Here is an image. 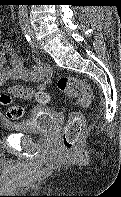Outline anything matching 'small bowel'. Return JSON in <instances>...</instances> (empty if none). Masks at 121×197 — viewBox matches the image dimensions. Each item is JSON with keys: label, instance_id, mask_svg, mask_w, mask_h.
<instances>
[{"label": "small bowel", "instance_id": "c3829d8e", "mask_svg": "<svg viewBox=\"0 0 121 197\" xmlns=\"http://www.w3.org/2000/svg\"><path fill=\"white\" fill-rule=\"evenodd\" d=\"M3 17L0 15V25ZM33 63L31 68H26L21 58L9 46L0 48V86H5L9 79L25 80L37 83L35 88H27L30 91L29 96L17 95V97L29 99L35 92L45 90L52 78V70L49 65L43 63L37 54L31 57Z\"/></svg>", "mask_w": 121, "mask_h": 197}]
</instances>
